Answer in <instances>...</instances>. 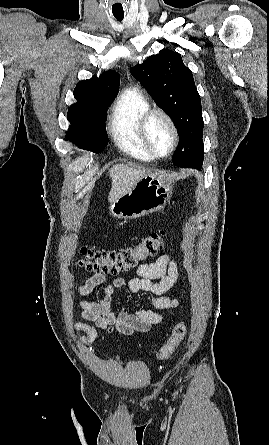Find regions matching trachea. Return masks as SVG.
Here are the masks:
<instances>
[{
  "instance_id": "obj_1",
  "label": "trachea",
  "mask_w": 269,
  "mask_h": 445,
  "mask_svg": "<svg viewBox=\"0 0 269 445\" xmlns=\"http://www.w3.org/2000/svg\"><path fill=\"white\" fill-rule=\"evenodd\" d=\"M118 21H122L124 18V15H115L114 16Z\"/></svg>"
}]
</instances>
